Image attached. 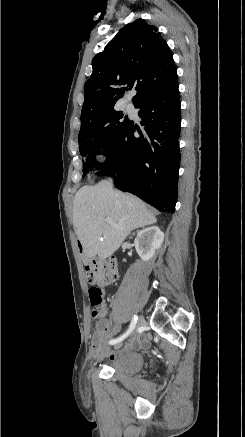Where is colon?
<instances>
[{"mask_svg": "<svg viewBox=\"0 0 245 437\" xmlns=\"http://www.w3.org/2000/svg\"><path fill=\"white\" fill-rule=\"evenodd\" d=\"M85 274L88 283L91 305L98 307L103 303V288L115 283L118 279L117 262L114 258L102 260L91 259L85 264ZM99 313L92 312V317L97 318Z\"/></svg>", "mask_w": 245, "mask_h": 437, "instance_id": "5ec220e1", "label": "colon"}]
</instances>
